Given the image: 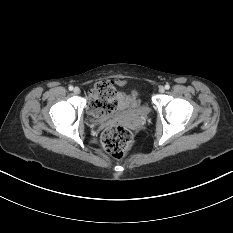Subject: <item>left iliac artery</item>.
<instances>
[{
	"instance_id": "left-iliac-artery-1",
	"label": "left iliac artery",
	"mask_w": 233,
	"mask_h": 233,
	"mask_svg": "<svg viewBox=\"0 0 233 233\" xmlns=\"http://www.w3.org/2000/svg\"><path fill=\"white\" fill-rule=\"evenodd\" d=\"M165 89H167V90L170 89V85H169V84H166V85H165Z\"/></svg>"
}]
</instances>
